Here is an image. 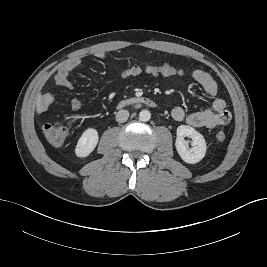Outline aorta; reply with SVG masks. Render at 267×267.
Returning <instances> with one entry per match:
<instances>
[{
  "label": "aorta",
  "instance_id": "1",
  "mask_svg": "<svg viewBox=\"0 0 267 267\" xmlns=\"http://www.w3.org/2000/svg\"><path fill=\"white\" fill-rule=\"evenodd\" d=\"M150 118H151V113H150V111H148V110H142V111L139 113V119H140L141 121L146 122V121H149Z\"/></svg>",
  "mask_w": 267,
  "mask_h": 267
}]
</instances>
